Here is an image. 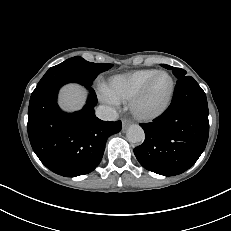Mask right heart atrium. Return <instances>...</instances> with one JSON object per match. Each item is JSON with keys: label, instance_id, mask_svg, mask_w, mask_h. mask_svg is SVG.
Instances as JSON below:
<instances>
[{"label": "right heart atrium", "instance_id": "d8ad5b80", "mask_svg": "<svg viewBox=\"0 0 231 231\" xmlns=\"http://www.w3.org/2000/svg\"><path fill=\"white\" fill-rule=\"evenodd\" d=\"M102 99H103L105 102L109 103V104H113V105L116 104V102H115L114 100H112V99L106 97L105 95H102Z\"/></svg>", "mask_w": 231, "mask_h": 231}]
</instances>
